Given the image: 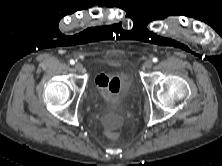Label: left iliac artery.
I'll return each instance as SVG.
<instances>
[{
    "label": "left iliac artery",
    "instance_id": "obj_1",
    "mask_svg": "<svg viewBox=\"0 0 222 166\" xmlns=\"http://www.w3.org/2000/svg\"><path fill=\"white\" fill-rule=\"evenodd\" d=\"M158 61V58L154 57L153 62L156 63Z\"/></svg>",
    "mask_w": 222,
    "mask_h": 166
}]
</instances>
